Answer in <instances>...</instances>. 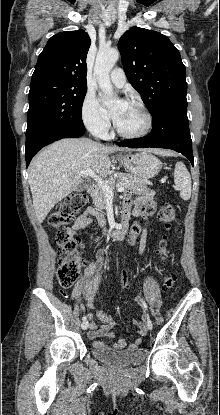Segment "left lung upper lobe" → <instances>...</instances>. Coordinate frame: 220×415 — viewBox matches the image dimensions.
<instances>
[{
    "instance_id": "1",
    "label": "left lung upper lobe",
    "mask_w": 220,
    "mask_h": 415,
    "mask_svg": "<svg viewBox=\"0 0 220 415\" xmlns=\"http://www.w3.org/2000/svg\"><path fill=\"white\" fill-rule=\"evenodd\" d=\"M131 85L155 115L164 105L186 100V70L178 49L165 35L133 27L118 41Z\"/></svg>"
}]
</instances>
